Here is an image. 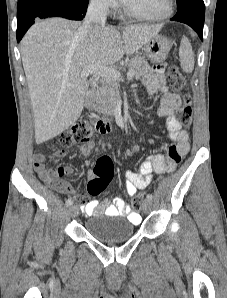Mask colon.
Here are the masks:
<instances>
[{"label": "colon", "mask_w": 227, "mask_h": 298, "mask_svg": "<svg viewBox=\"0 0 227 298\" xmlns=\"http://www.w3.org/2000/svg\"><path fill=\"white\" fill-rule=\"evenodd\" d=\"M168 79L171 86L176 90H182L185 87V79L178 67L172 65V68H168ZM184 106L180 109L176 115L177 120L182 125H189L192 120V107L190 96L185 94L183 97ZM95 130L91 124L86 122H79L67 129L58 137L57 143L61 149H65L77 144H84L88 142L94 135ZM171 172V171H169ZM114 174L113 162L110 158L103 156L98 159L93 175L90 177L87 189L91 195H100L107 188L112 181ZM144 195L142 193L136 195L133 198V207L136 208L138 213Z\"/></svg>", "instance_id": "1"}]
</instances>
